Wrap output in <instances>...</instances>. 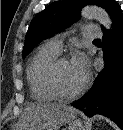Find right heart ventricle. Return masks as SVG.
<instances>
[{
	"mask_svg": "<svg viewBox=\"0 0 123 130\" xmlns=\"http://www.w3.org/2000/svg\"><path fill=\"white\" fill-rule=\"evenodd\" d=\"M58 55V51L45 43L37 49L29 63L27 80L30 92L39 102H51L58 98L52 90L49 79L50 67Z\"/></svg>",
	"mask_w": 123,
	"mask_h": 130,
	"instance_id": "obj_1",
	"label": "right heart ventricle"
}]
</instances>
